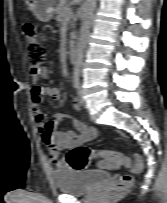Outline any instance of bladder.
Listing matches in <instances>:
<instances>
[{
    "mask_svg": "<svg viewBox=\"0 0 167 203\" xmlns=\"http://www.w3.org/2000/svg\"><path fill=\"white\" fill-rule=\"evenodd\" d=\"M110 178V173L100 170L59 168L52 172L57 190L70 195L88 193L99 184L109 181Z\"/></svg>",
    "mask_w": 167,
    "mask_h": 203,
    "instance_id": "1",
    "label": "bladder"
}]
</instances>
